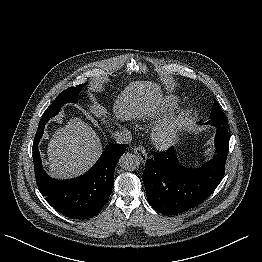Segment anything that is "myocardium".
<instances>
[{"label":"myocardium","instance_id":"obj_1","mask_svg":"<svg viewBox=\"0 0 262 262\" xmlns=\"http://www.w3.org/2000/svg\"><path fill=\"white\" fill-rule=\"evenodd\" d=\"M190 114V108H180L159 122L152 132L154 145L160 150L172 148L178 142L180 133L186 126Z\"/></svg>","mask_w":262,"mask_h":262}]
</instances>
